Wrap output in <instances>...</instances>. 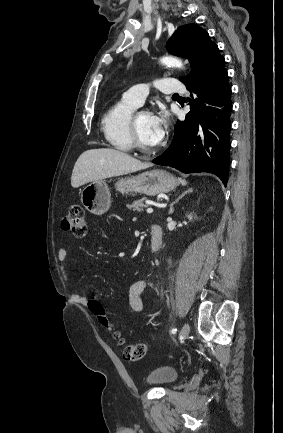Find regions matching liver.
<instances>
[{"label": "liver", "mask_w": 283, "mask_h": 433, "mask_svg": "<svg viewBox=\"0 0 283 433\" xmlns=\"http://www.w3.org/2000/svg\"><path fill=\"white\" fill-rule=\"evenodd\" d=\"M148 166H152L151 162H141L138 158L115 148H91L77 158L72 170L71 184L77 188L92 180L120 176Z\"/></svg>", "instance_id": "6515ba94"}]
</instances>
